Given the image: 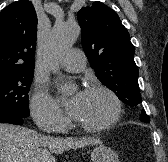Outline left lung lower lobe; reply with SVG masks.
Instances as JSON below:
<instances>
[{
  "label": "left lung lower lobe",
  "instance_id": "left-lung-lower-lobe-1",
  "mask_svg": "<svg viewBox=\"0 0 168 162\" xmlns=\"http://www.w3.org/2000/svg\"><path fill=\"white\" fill-rule=\"evenodd\" d=\"M150 119H141L142 122L149 123Z\"/></svg>",
  "mask_w": 168,
  "mask_h": 162
}]
</instances>
